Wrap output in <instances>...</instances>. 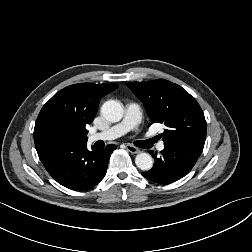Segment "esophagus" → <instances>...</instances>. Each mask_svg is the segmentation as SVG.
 <instances>
[{
    "mask_svg": "<svg viewBox=\"0 0 252 252\" xmlns=\"http://www.w3.org/2000/svg\"><path fill=\"white\" fill-rule=\"evenodd\" d=\"M126 149H127L129 152L133 153V154L140 153V150H139L137 147H135V146H133V145H131V144H127V145H126Z\"/></svg>",
    "mask_w": 252,
    "mask_h": 252,
    "instance_id": "esophagus-1",
    "label": "esophagus"
}]
</instances>
